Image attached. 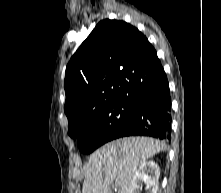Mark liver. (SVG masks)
I'll return each instance as SVG.
<instances>
[{"mask_svg": "<svg viewBox=\"0 0 221 193\" xmlns=\"http://www.w3.org/2000/svg\"><path fill=\"white\" fill-rule=\"evenodd\" d=\"M164 150V143L149 137H128L103 145L85 166L82 193H130L138 166Z\"/></svg>", "mask_w": 221, "mask_h": 193, "instance_id": "liver-1", "label": "liver"}]
</instances>
